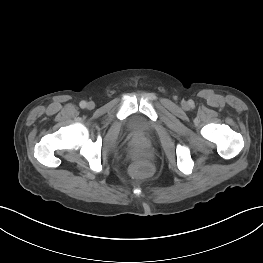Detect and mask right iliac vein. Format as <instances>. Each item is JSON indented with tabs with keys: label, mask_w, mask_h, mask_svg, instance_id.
<instances>
[{
	"label": "right iliac vein",
	"mask_w": 263,
	"mask_h": 263,
	"mask_svg": "<svg viewBox=\"0 0 263 263\" xmlns=\"http://www.w3.org/2000/svg\"><path fill=\"white\" fill-rule=\"evenodd\" d=\"M94 106H95V104H94L93 102H89V103L87 104V108H88V109H93Z\"/></svg>",
	"instance_id": "1"
}]
</instances>
